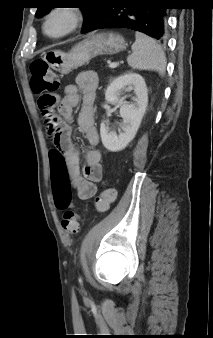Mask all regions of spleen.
Returning a JSON list of instances; mask_svg holds the SVG:
<instances>
[{"label":"spleen","mask_w":213,"mask_h":338,"mask_svg":"<svg viewBox=\"0 0 213 338\" xmlns=\"http://www.w3.org/2000/svg\"><path fill=\"white\" fill-rule=\"evenodd\" d=\"M135 37L132 54L127 58L128 65L133 69L156 71L163 76L167 62L161 46L143 33L136 32Z\"/></svg>","instance_id":"1"}]
</instances>
